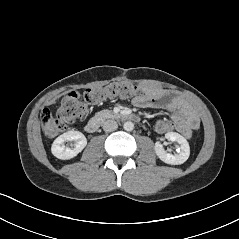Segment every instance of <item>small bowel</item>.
Here are the masks:
<instances>
[{
  "label": "small bowel",
  "instance_id": "obj_1",
  "mask_svg": "<svg viewBox=\"0 0 239 239\" xmlns=\"http://www.w3.org/2000/svg\"><path fill=\"white\" fill-rule=\"evenodd\" d=\"M143 94L135 96L133 104L139 108H160L168 110L173 122L171 131L175 130L189 138L200 126L199 117L194 108L183 98L169 90L155 87L143 88Z\"/></svg>",
  "mask_w": 239,
  "mask_h": 239
}]
</instances>
